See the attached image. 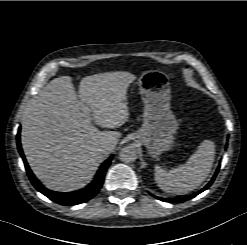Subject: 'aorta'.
<instances>
[{
    "mask_svg": "<svg viewBox=\"0 0 247 245\" xmlns=\"http://www.w3.org/2000/svg\"><path fill=\"white\" fill-rule=\"evenodd\" d=\"M119 158L123 163H133L137 159V152L132 146H125L119 152Z\"/></svg>",
    "mask_w": 247,
    "mask_h": 245,
    "instance_id": "aorta-1",
    "label": "aorta"
}]
</instances>
